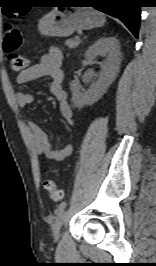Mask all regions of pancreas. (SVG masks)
<instances>
[{"label": "pancreas", "instance_id": "obj_1", "mask_svg": "<svg viewBox=\"0 0 156 266\" xmlns=\"http://www.w3.org/2000/svg\"><path fill=\"white\" fill-rule=\"evenodd\" d=\"M69 48H75L80 44L79 39H68L65 43Z\"/></svg>", "mask_w": 156, "mask_h": 266}]
</instances>
